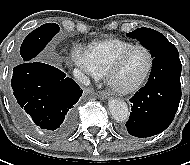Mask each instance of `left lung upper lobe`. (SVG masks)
<instances>
[{"label": "left lung upper lobe", "mask_w": 190, "mask_h": 165, "mask_svg": "<svg viewBox=\"0 0 190 165\" xmlns=\"http://www.w3.org/2000/svg\"><path fill=\"white\" fill-rule=\"evenodd\" d=\"M127 36L140 41L145 48L151 51L152 57L175 47L164 35L150 28H138L127 33Z\"/></svg>", "instance_id": "1"}]
</instances>
